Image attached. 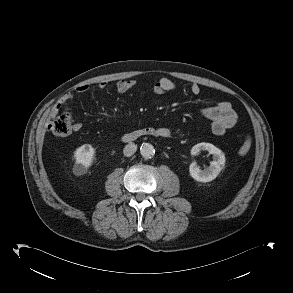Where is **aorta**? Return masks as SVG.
Segmentation results:
<instances>
[{
    "mask_svg": "<svg viewBox=\"0 0 293 293\" xmlns=\"http://www.w3.org/2000/svg\"><path fill=\"white\" fill-rule=\"evenodd\" d=\"M140 152H141V155L143 156V158L149 159V158L153 157V155L155 153V149L151 144L144 143V144H142V146L140 148Z\"/></svg>",
    "mask_w": 293,
    "mask_h": 293,
    "instance_id": "762f6f07",
    "label": "aorta"
}]
</instances>
